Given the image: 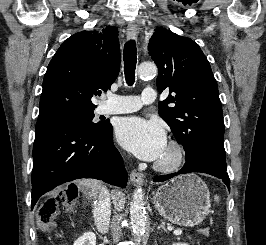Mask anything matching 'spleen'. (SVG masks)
I'll list each match as a JSON object with an SVG mask.
<instances>
[{"instance_id": "1", "label": "spleen", "mask_w": 266, "mask_h": 245, "mask_svg": "<svg viewBox=\"0 0 266 245\" xmlns=\"http://www.w3.org/2000/svg\"><path fill=\"white\" fill-rule=\"evenodd\" d=\"M214 199H215V201H217V203H218V201H219V197H217V195H215Z\"/></svg>"}]
</instances>
